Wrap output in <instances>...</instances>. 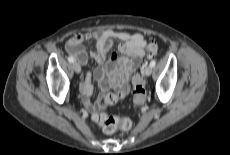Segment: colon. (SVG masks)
Here are the masks:
<instances>
[{"label":"colon","instance_id":"obj_1","mask_svg":"<svg viewBox=\"0 0 230 155\" xmlns=\"http://www.w3.org/2000/svg\"><path fill=\"white\" fill-rule=\"evenodd\" d=\"M146 50L150 57L156 56L159 51L157 42L154 40L148 42ZM109 100L113 102L115 98L110 97ZM133 101L136 107L144 105L146 101V86L139 75L133 78ZM94 120L107 134L113 133L118 128L121 130H129L132 126V122L129 119L108 116L103 112L96 113Z\"/></svg>","mask_w":230,"mask_h":155}]
</instances>
